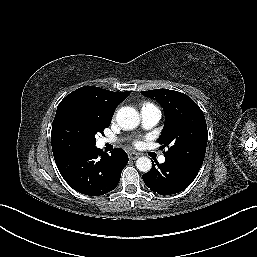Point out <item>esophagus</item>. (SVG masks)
<instances>
[{
    "mask_svg": "<svg viewBox=\"0 0 257 257\" xmlns=\"http://www.w3.org/2000/svg\"><path fill=\"white\" fill-rule=\"evenodd\" d=\"M139 153H135V152H130V153H128V157H129V159H131V160H135V159H137L138 157H139Z\"/></svg>",
    "mask_w": 257,
    "mask_h": 257,
    "instance_id": "esophagus-1",
    "label": "esophagus"
}]
</instances>
